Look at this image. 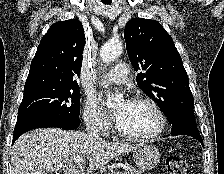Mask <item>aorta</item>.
Wrapping results in <instances>:
<instances>
[{"label":"aorta","mask_w":224,"mask_h":174,"mask_svg":"<svg viewBox=\"0 0 224 174\" xmlns=\"http://www.w3.org/2000/svg\"><path fill=\"white\" fill-rule=\"evenodd\" d=\"M123 51L122 43L119 41H110L104 44L100 50V57L103 62L110 63L118 58ZM123 101V96L121 94L117 95H108V99L106 102L107 107L113 108L118 103Z\"/></svg>","instance_id":"1"}]
</instances>
